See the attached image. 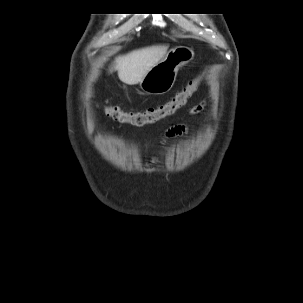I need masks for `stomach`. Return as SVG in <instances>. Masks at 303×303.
Masks as SVG:
<instances>
[{
	"instance_id": "0dacf381",
	"label": "stomach",
	"mask_w": 303,
	"mask_h": 303,
	"mask_svg": "<svg viewBox=\"0 0 303 303\" xmlns=\"http://www.w3.org/2000/svg\"><path fill=\"white\" fill-rule=\"evenodd\" d=\"M193 57L194 51L188 47L178 46L170 49L139 82L141 90L154 95L167 93L174 85L179 68L191 61Z\"/></svg>"
}]
</instances>
